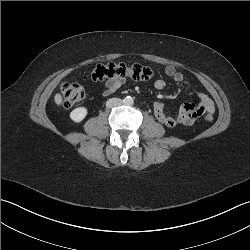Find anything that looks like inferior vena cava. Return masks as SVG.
<instances>
[{"instance_id":"602c4592","label":"inferior vena cava","mask_w":250,"mask_h":250,"mask_svg":"<svg viewBox=\"0 0 250 250\" xmlns=\"http://www.w3.org/2000/svg\"><path fill=\"white\" fill-rule=\"evenodd\" d=\"M122 104H123V101L120 98H111V99L107 100L106 107L113 108L116 106H120Z\"/></svg>"}]
</instances>
